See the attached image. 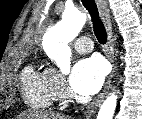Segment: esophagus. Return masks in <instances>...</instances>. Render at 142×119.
I'll use <instances>...</instances> for the list:
<instances>
[{"label":"esophagus","instance_id":"34e87169","mask_svg":"<svg viewBox=\"0 0 142 119\" xmlns=\"http://www.w3.org/2000/svg\"><path fill=\"white\" fill-rule=\"evenodd\" d=\"M96 3H97L98 9L100 11V14H101V17H102V20L104 22L105 29L107 32L108 41H107L106 56L112 64V71L105 83V86L102 92L92 102H90L87 105L84 111L85 118L92 117L96 109L101 105L107 91L109 90L110 83H111V80L115 72V64H114V51L115 50H114L112 24H111V19H110V11L108 8V3L106 0H96Z\"/></svg>","mask_w":142,"mask_h":119}]
</instances>
